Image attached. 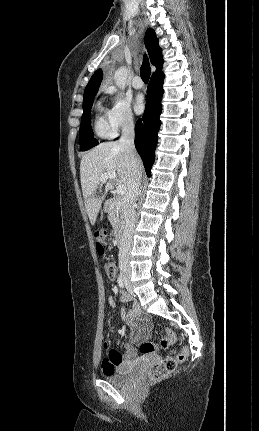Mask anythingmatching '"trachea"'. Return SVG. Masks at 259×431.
I'll return each instance as SVG.
<instances>
[{"mask_svg":"<svg viewBox=\"0 0 259 431\" xmlns=\"http://www.w3.org/2000/svg\"><path fill=\"white\" fill-rule=\"evenodd\" d=\"M150 74H151L150 64H149L147 56L145 55L144 60H143V64L140 68V75H141L142 80L145 83H147L149 81Z\"/></svg>","mask_w":259,"mask_h":431,"instance_id":"1","label":"trachea"}]
</instances>
